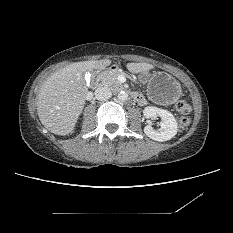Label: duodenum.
Segmentation results:
<instances>
[{"label": "duodenum", "mask_w": 233, "mask_h": 233, "mask_svg": "<svg viewBox=\"0 0 233 233\" xmlns=\"http://www.w3.org/2000/svg\"><path fill=\"white\" fill-rule=\"evenodd\" d=\"M115 67L111 66V65H105L103 67H101L98 71H97V76L92 79L90 85L91 87H96L98 85V82L101 80L102 76L107 74L109 71L113 70ZM134 98L137 97L136 94H133Z\"/></svg>", "instance_id": "duodenum-1"}]
</instances>
